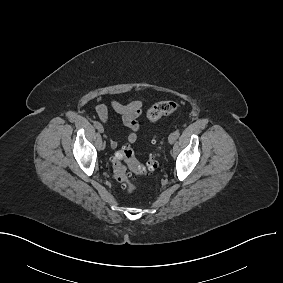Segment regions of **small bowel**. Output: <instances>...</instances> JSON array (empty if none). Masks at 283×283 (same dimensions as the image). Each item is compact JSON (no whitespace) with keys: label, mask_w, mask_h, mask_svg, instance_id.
Returning <instances> with one entry per match:
<instances>
[{"label":"small bowel","mask_w":283,"mask_h":283,"mask_svg":"<svg viewBox=\"0 0 283 283\" xmlns=\"http://www.w3.org/2000/svg\"><path fill=\"white\" fill-rule=\"evenodd\" d=\"M111 109L119 114L122 118L124 125L130 129V133L126 139L129 143H134L137 140V132L140 130L141 125L138 118L143 112V102L141 100H134L129 103H121L118 100L112 99L110 101ZM96 113L102 122H107L109 119V108L104 104L96 106ZM111 146L116 148L118 142L111 140Z\"/></svg>","instance_id":"c3829d8e"}]
</instances>
